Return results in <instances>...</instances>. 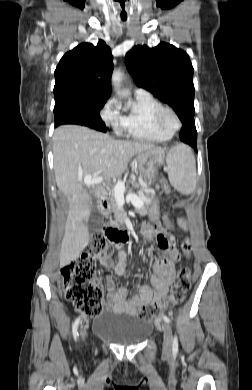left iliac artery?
Instances as JSON below:
<instances>
[{"label": "left iliac artery", "mask_w": 252, "mask_h": 390, "mask_svg": "<svg viewBox=\"0 0 252 390\" xmlns=\"http://www.w3.org/2000/svg\"><path fill=\"white\" fill-rule=\"evenodd\" d=\"M163 319L165 322L170 323V319L167 316H163ZM173 351H178V339L175 336L173 339V345H172Z\"/></svg>", "instance_id": "44dca946"}]
</instances>
